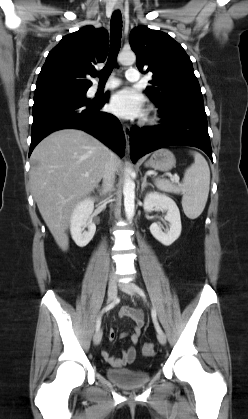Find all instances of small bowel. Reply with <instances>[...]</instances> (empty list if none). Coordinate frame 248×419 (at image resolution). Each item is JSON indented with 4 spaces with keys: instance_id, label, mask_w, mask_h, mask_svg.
Masks as SVG:
<instances>
[{
    "instance_id": "c3829d8e",
    "label": "small bowel",
    "mask_w": 248,
    "mask_h": 419,
    "mask_svg": "<svg viewBox=\"0 0 248 419\" xmlns=\"http://www.w3.org/2000/svg\"><path fill=\"white\" fill-rule=\"evenodd\" d=\"M119 316L130 318L133 321V328L130 333H122L121 337L128 336L131 342V345L123 350L121 357H113L108 351H103L102 355L105 361L110 364L112 367L121 368L127 364L132 363L137 355L136 345L138 344L142 328L144 326V314L141 310L134 309L131 307H122L119 310ZM109 340H114L116 338V333L114 330L110 329L108 331Z\"/></svg>"
}]
</instances>
